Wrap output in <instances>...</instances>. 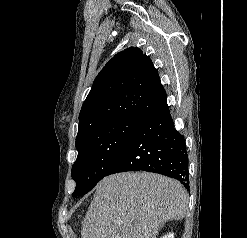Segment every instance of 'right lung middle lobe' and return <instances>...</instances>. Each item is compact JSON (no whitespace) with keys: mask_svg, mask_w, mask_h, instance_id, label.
I'll use <instances>...</instances> for the list:
<instances>
[{"mask_svg":"<svg viewBox=\"0 0 247 238\" xmlns=\"http://www.w3.org/2000/svg\"><path fill=\"white\" fill-rule=\"evenodd\" d=\"M144 121L141 117L115 119L76 139L78 157L72 167L76 182L73 197L88 193L106 175Z\"/></svg>","mask_w":247,"mask_h":238,"instance_id":"dd1d6c3e","label":"right lung middle lobe"}]
</instances>
